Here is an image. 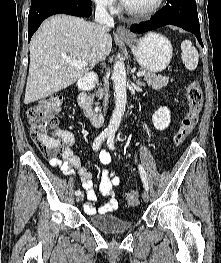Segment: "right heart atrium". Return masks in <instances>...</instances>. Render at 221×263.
Returning <instances> with one entry per match:
<instances>
[{"label":"right heart atrium","instance_id":"obj_1","mask_svg":"<svg viewBox=\"0 0 221 263\" xmlns=\"http://www.w3.org/2000/svg\"><path fill=\"white\" fill-rule=\"evenodd\" d=\"M94 4L107 12L113 13L117 9V0H92Z\"/></svg>","mask_w":221,"mask_h":263}]
</instances>
